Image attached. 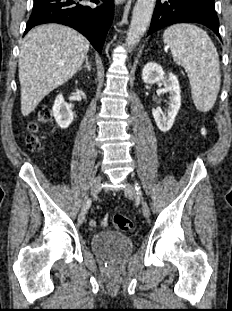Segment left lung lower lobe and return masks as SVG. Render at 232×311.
<instances>
[{
  "mask_svg": "<svg viewBox=\"0 0 232 311\" xmlns=\"http://www.w3.org/2000/svg\"><path fill=\"white\" fill-rule=\"evenodd\" d=\"M183 22L203 24L220 38L214 0H157L148 35Z\"/></svg>",
  "mask_w": 232,
  "mask_h": 311,
  "instance_id": "obj_1",
  "label": "left lung lower lobe"
}]
</instances>
